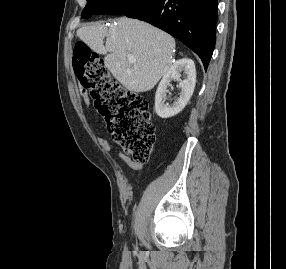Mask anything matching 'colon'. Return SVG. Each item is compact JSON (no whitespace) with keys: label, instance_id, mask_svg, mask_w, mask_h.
Segmentation results:
<instances>
[{"label":"colon","instance_id":"obj_1","mask_svg":"<svg viewBox=\"0 0 286 269\" xmlns=\"http://www.w3.org/2000/svg\"><path fill=\"white\" fill-rule=\"evenodd\" d=\"M72 59L76 76L105 119L112 140L134 161L147 162L156 139L148 100L121 87L86 43H75Z\"/></svg>","mask_w":286,"mask_h":269}]
</instances>
